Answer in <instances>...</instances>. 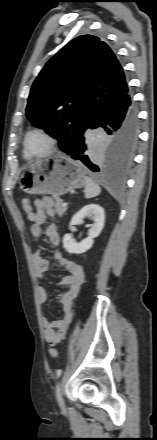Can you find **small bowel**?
Listing matches in <instances>:
<instances>
[{"label":"small bowel","mask_w":157,"mask_h":440,"mask_svg":"<svg viewBox=\"0 0 157 440\" xmlns=\"http://www.w3.org/2000/svg\"><path fill=\"white\" fill-rule=\"evenodd\" d=\"M54 215V201L50 197L34 200L32 211L28 214V218L31 221L30 233L32 236L37 238L41 237L43 234L42 224L47 217H53ZM45 234L50 244L55 247L52 250L54 259L67 271V275L61 282V285L67 289L58 295V300L63 311L62 317L57 321H50L47 317L42 318L44 337L50 345L54 346L64 340L67 335L73 317V302L79 295L81 286L85 280V274L80 264L64 256L61 251L56 248L60 243V235L56 225L53 223L49 224L45 230ZM32 261L36 276L42 279L49 269V259L44 257L41 251H37L34 253ZM37 296L41 304L47 302L48 292L44 286L40 285L38 287Z\"/></svg>","instance_id":"c3829d8e"}]
</instances>
